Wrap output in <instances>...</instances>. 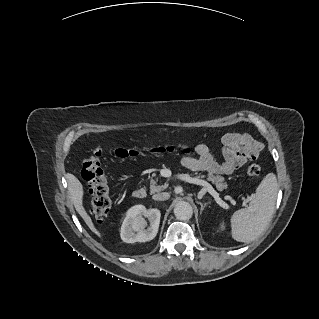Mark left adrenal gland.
<instances>
[{
  "instance_id": "left-adrenal-gland-1",
  "label": "left adrenal gland",
  "mask_w": 319,
  "mask_h": 319,
  "mask_svg": "<svg viewBox=\"0 0 319 319\" xmlns=\"http://www.w3.org/2000/svg\"><path fill=\"white\" fill-rule=\"evenodd\" d=\"M209 202L206 203H202V202H198V204H200L201 208H200V212L202 213L204 208L208 205Z\"/></svg>"
}]
</instances>
